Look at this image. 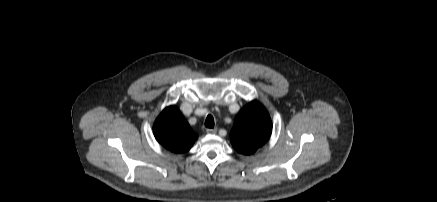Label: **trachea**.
Segmentation results:
<instances>
[{
  "mask_svg": "<svg viewBox=\"0 0 437 202\" xmlns=\"http://www.w3.org/2000/svg\"><path fill=\"white\" fill-rule=\"evenodd\" d=\"M205 126L207 128H214V118L212 115H208L205 120Z\"/></svg>",
  "mask_w": 437,
  "mask_h": 202,
  "instance_id": "1",
  "label": "trachea"
}]
</instances>
